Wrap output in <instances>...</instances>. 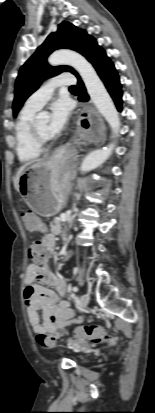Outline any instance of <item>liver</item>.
I'll list each match as a JSON object with an SVG mask.
<instances>
[{
  "mask_svg": "<svg viewBox=\"0 0 155 413\" xmlns=\"http://www.w3.org/2000/svg\"><path fill=\"white\" fill-rule=\"evenodd\" d=\"M38 162H39V161H38ZM31 164H32V162H29V163H26V164L22 165V166L19 168V170H18V172H17V174H16V176H15V178H14V187H15V190H16V191L19 190V179H20V176L22 175L23 171H24L28 166H30Z\"/></svg>",
  "mask_w": 155,
  "mask_h": 413,
  "instance_id": "1",
  "label": "liver"
}]
</instances>
